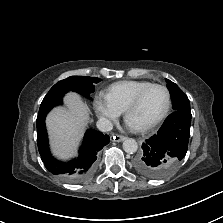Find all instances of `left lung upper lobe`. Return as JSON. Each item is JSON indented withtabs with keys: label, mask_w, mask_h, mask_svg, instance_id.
Instances as JSON below:
<instances>
[{
	"label": "left lung upper lobe",
	"mask_w": 223,
	"mask_h": 223,
	"mask_svg": "<svg viewBox=\"0 0 223 223\" xmlns=\"http://www.w3.org/2000/svg\"><path fill=\"white\" fill-rule=\"evenodd\" d=\"M166 82L171 95L173 110L191 113L190 102L185 93L174 82L168 79H166Z\"/></svg>",
	"instance_id": "left-lung-upper-lobe-1"
}]
</instances>
